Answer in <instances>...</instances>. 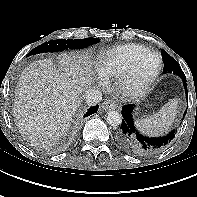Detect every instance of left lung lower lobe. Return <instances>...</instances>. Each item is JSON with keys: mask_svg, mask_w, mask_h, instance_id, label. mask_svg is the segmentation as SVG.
<instances>
[{"mask_svg": "<svg viewBox=\"0 0 197 197\" xmlns=\"http://www.w3.org/2000/svg\"><path fill=\"white\" fill-rule=\"evenodd\" d=\"M185 88L186 98L188 101V91L186 77L181 78ZM134 104H127L122 107V123L117 133L119 145L126 151L138 156H148L155 154L167 147L175 137V130L167 135L159 137L145 136L136 128L133 113ZM187 113V110L185 114Z\"/></svg>", "mask_w": 197, "mask_h": 197, "instance_id": "1", "label": "left lung lower lobe"}]
</instances>
